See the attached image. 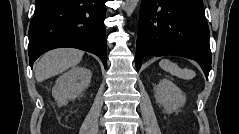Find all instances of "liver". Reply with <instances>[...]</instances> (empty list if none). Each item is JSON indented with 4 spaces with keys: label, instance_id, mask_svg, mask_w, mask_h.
<instances>
[{
    "label": "liver",
    "instance_id": "1",
    "mask_svg": "<svg viewBox=\"0 0 239 134\" xmlns=\"http://www.w3.org/2000/svg\"><path fill=\"white\" fill-rule=\"evenodd\" d=\"M84 52L72 48H60L45 53L35 65V78L42 82L76 66Z\"/></svg>",
    "mask_w": 239,
    "mask_h": 134
}]
</instances>
